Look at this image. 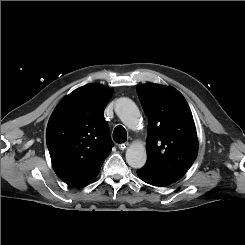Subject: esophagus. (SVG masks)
<instances>
[{
  "mask_svg": "<svg viewBox=\"0 0 245 245\" xmlns=\"http://www.w3.org/2000/svg\"><path fill=\"white\" fill-rule=\"evenodd\" d=\"M129 146V143L128 142H125V143H121V144H119L118 145V148L120 149V150H125L127 147Z\"/></svg>",
  "mask_w": 245,
  "mask_h": 245,
  "instance_id": "34e87169",
  "label": "esophagus"
}]
</instances>
